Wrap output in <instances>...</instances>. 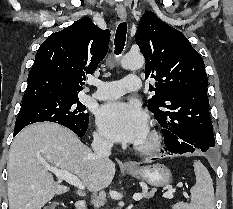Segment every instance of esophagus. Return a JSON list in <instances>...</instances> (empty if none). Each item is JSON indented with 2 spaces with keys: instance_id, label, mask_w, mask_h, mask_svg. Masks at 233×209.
I'll return each instance as SVG.
<instances>
[{
  "instance_id": "esophagus-1",
  "label": "esophagus",
  "mask_w": 233,
  "mask_h": 209,
  "mask_svg": "<svg viewBox=\"0 0 233 209\" xmlns=\"http://www.w3.org/2000/svg\"><path fill=\"white\" fill-rule=\"evenodd\" d=\"M116 11H117V15L118 17L121 19V20H126L127 18V12H126V9L123 5H118L117 8H116ZM124 165L126 167H134V165L128 161H126L124 163Z\"/></svg>"
}]
</instances>
